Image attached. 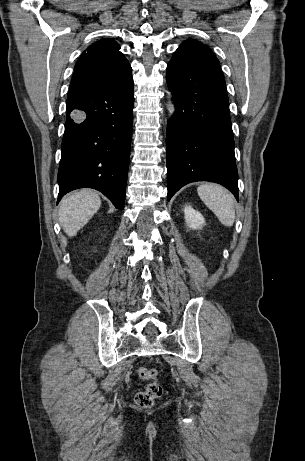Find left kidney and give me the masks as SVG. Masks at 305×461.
I'll return each mask as SVG.
<instances>
[{"instance_id": "5707ae66", "label": "left kidney", "mask_w": 305, "mask_h": 461, "mask_svg": "<svg viewBox=\"0 0 305 461\" xmlns=\"http://www.w3.org/2000/svg\"><path fill=\"white\" fill-rule=\"evenodd\" d=\"M185 221L191 229H201L205 224L202 214L194 210L191 206L187 205L184 208Z\"/></svg>"}]
</instances>
